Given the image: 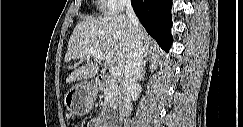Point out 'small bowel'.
Instances as JSON below:
<instances>
[{
	"mask_svg": "<svg viewBox=\"0 0 243 127\" xmlns=\"http://www.w3.org/2000/svg\"><path fill=\"white\" fill-rule=\"evenodd\" d=\"M89 127H102L99 119H93L89 123Z\"/></svg>",
	"mask_w": 243,
	"mask_h": 127,
	"instance_id": "obj_1",
	"label": "small bowel"
}]
</instances>
